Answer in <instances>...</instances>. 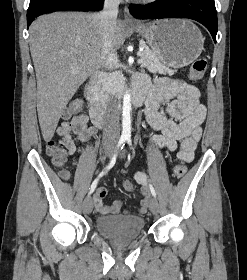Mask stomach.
<instances>
[{"label": "stomach", "mask_w": 247, "mask_h": 280, "mask_svg": "<svg viewBox=\"0 0 247 280\" xmlns=\"http://www.w3.org/2000/svg\"><path fill=\"white\" fill-rule=\"evenodd\" d=\"M145 38L158 59L173 68H182L196 60L203 50L204 38L189 20L165 19L133 28Z\"/></svg>", "instance_id": "obj_1"}]
</instances>
